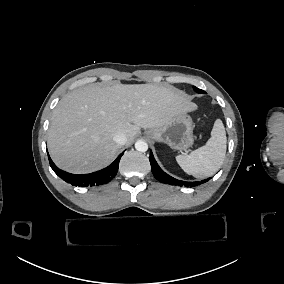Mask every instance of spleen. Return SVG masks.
<instances>
[{
  "label": "spleen",
  "instance_id": "1",
  "mask_svg": "<svg viewBox=\"0 0 284 284\" xmlns=\"http://www.w3.org/2000/svg\"><path fill=\"white\" fill-rule=\"evenodd\" d=\"M208 143L189 154L176 156V162L188 175L204 178L221 167L226 153V134L221 120H216Z\"/></svg>",
  "mask_w": 284,
  "mask_h": 284
}]
</instances>
